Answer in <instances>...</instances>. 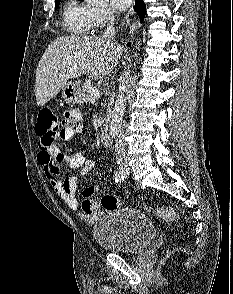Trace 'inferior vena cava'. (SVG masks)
<instances>
[{
	"mask_svg": "<svg viewBox=\"0 0 233 294\" xmlns=\"http://www.w3.org/2000/svg\"><path fill=\"white\" fill-rule=\"evenodd\" d=\"M113 13H114V11H113ZM115 34H116V32H115V28H114V15H112L111 20H110V25L105 30L103 37L108 40L114 41ZM115 154H116L117 163L119 165L127 163L123 130H121L119 132V134L116 136Z\"/></svg>",
	"mask_w": 233,
	"mask_h": 294,
	"instance_id": "inferior-vena-cava-1",
	"label": "inferior vena cava"
}]
</instances>
